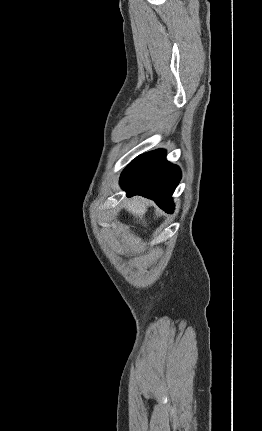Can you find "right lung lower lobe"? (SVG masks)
Returning a JSON list of instances; mask_svg holds the SVG:
<instances>
[{"label":"right lung lower lobe","mask_w":262,"mask_h":431,"mask_svg":"<svg viewBox=\"0 0 262 431\" xmlns=\"http://www.w3.org/2000/svg\"><path fill=\"white\" fill-rule=\"evenodd\" d=\"M181 179L180 168L166 160L164 150L135 158L121 174L120 184L127 196L141 195L154 200L168 213L174 210L172 194Z\"/></svg>","instance_id":"98d812e1"}]
</instances>
